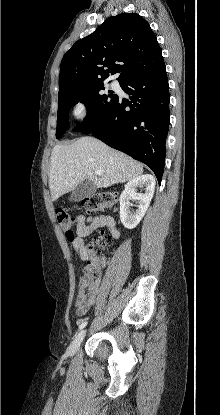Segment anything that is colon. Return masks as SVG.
<instances>
[{
	"label": "colon",
	"instance_id": "1",
	"mask_svg": "<svg viewBox=\"0 0 220 415\" xmlns=\"http://www.w3.org/2000/svg\"><path fill=\"white\" fill-rule=\"evenodd\" d=\"M119 198L117 193L110 191H99L90 196L85 197L81 205L89 213L105 212L108 210H116ZM58 224L66 230V232H74L76 227L73 217L63 209L56 211ZM107 240L104 237L92 240L87 244V262L84 267L85 273L96 278L101 271L102 263L99 259V252L106 246Z\"/></svg>",
	"mask_w": 220,
	"mask_h": 415
}]
</instances>
